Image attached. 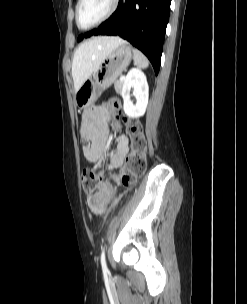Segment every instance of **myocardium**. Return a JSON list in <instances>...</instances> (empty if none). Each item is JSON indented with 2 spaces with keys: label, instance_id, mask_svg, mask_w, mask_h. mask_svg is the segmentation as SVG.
Here are the masks:
<instances>
[{
  "label": "myocardium",
  "instance_id": "obj_1",
  "mask_svg": "<svg viewBox=\"0 0 247 304\" xmlns=\"http://www.w3.org/2000/svg\"><path fill=\"white\" fill-rule=\"evenodd\" d=\"M83 1L84 0H78L77 5H76V9H75V22H76L77 27L80 30H89V29H92V28H95V27L99 26L100 24H102L103 22L108 20L115 13V11L117 10L118 5H119V0H112L110 8L98 21H96L95 23H93L90 26L81 27L80 24H79V10H80V7H81Z\"/></svg>",
  "mask_w": 247,
  "mask_h": 304
}]
</instances>
